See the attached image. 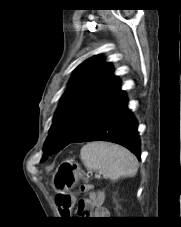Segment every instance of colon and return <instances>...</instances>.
<instances>
[{
	"label": "colon",
	"mask_w": 181,
	"mask_h": 227,
	"mask_svg": "<svg viewBox=\"0 0 181 227\" xmlns=\"http://www.w3.org/2000/svg\"><path fill=\"white\" fill-rule=\"evenodd\" d=\"M91 189L90 185H80L77 192L84 193ZM56 203L61 209L62 214L69 215L72 208L74 207V196L69 193H59L56 196Z\"/></svg>",
	"instance_id": "1"
}]
</instances>
